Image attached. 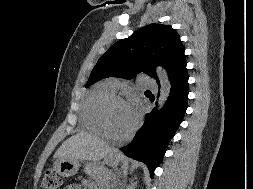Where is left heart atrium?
Returning <instances> with one entry per match:
<instances>
[{
  "label": "left heart atrium",
  "mask_w": 253,
  "mask_h": 189,
  "mask_svg": "<svg viewBox=\"0 0 253 189\" xmlns=\"http://www.w3.org/2000/svg\"><path fill=\"white\" fill-rule=\"evenodd\" d=\"M129 106V110L131 114L137 119L138 118V107L137 105L133 102Z\"/></svg>",
  "instance_id": "left-heart-atrium-1"
}]
</instances>
